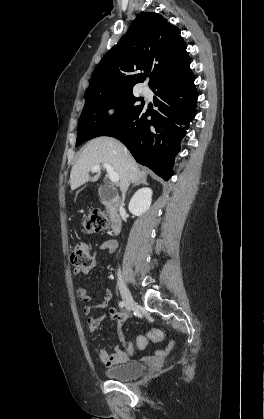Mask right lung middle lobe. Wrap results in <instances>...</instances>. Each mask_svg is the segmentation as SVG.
<instances>
[{"label": "right lung middle lobe", "instance_id": "right-lung-middle-lobe-1", "mask_svg": "<svg viewBox=\"0 0 264 419\" xmlns=\"http://www.w3.org/2000/svg\"><path fill=\"white\" fill-rule=\"evenodd\" d=\"M138 101H142V104L139 105ZM143 105V100L136 98L132 90L87 96L78 124L76 146L86 140L104 136ZM110 108H116V112L107 118L106 113Z\"/></svg>", "mask_w": 264, "mask_h": 419}]
</instances>
